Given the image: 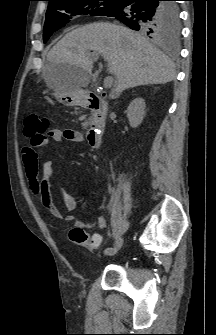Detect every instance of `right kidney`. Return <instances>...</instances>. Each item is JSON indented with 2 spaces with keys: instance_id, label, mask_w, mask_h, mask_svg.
<instances>
[{
  "instance_id": "right-kidney-1",
  "label": "right kidney",
  "mask_w": 216,
  "mask_h": 335,
  "mask_svg": "<svg viewBox=\"0 0 216 335\" xmlns=\"http://www.w3.org/2000/svg\"><path fill=\"white\" fill-rule=\"evenodd\" d=\"M145 101L144 99L138 97L135 98L127 108V118L129 120V124L132 128L138 127L144 118L145 115Z\"/></svg>"
}]
</instances>
